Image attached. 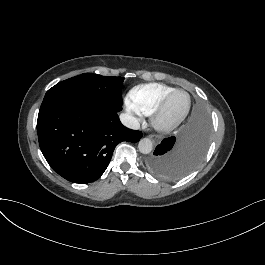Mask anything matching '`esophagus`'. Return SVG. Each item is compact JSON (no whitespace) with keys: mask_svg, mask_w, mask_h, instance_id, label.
<instances>
[{"mask_svg":"<svg viewBox=\"0 0 265 265\" xmlns=\"http://www.w3.org/2000/svg\"><path fill=\"white\" fill-rule=\"evenodd\" d=\"M150 138L153 139L155 144H159L161 142V140H162V138L160 136L151 135Z\"/></svg>","mask_w":265,"mask_h":265,"instance_id":"obj_1","label":"esophagus"}]
</instances>
